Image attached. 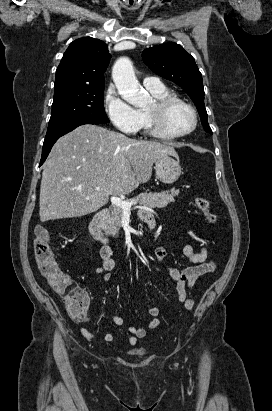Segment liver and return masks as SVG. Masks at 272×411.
I'll list each match as a JSON object with an SVG mask.
<instances>
[{"label": "liver", "mask_w": 272, "mask_h": 411, "mask_svg": "<svg viewBox=\"0 0 272 411\" xmlns=\"http://www.w3.org/2000/svg\"><path fill=\"white\" fill-rule=\"evenodd\" d=\"M164 156L178 157L167 144L131 139L100 126H79L55 143L44 164L41 222L96 212L110 195H127L149 181L154 160Z\"/></svg>", "instance_id": "obj_1"}]
</instances>
